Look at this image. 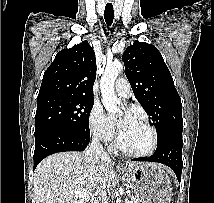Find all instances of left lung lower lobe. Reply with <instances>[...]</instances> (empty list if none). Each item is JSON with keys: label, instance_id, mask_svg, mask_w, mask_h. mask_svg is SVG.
<instances>
[{"label": "left lung lower lobe", "instance_id": "1", "mask_svg": "<svg viewBox=\"0 0 214 203\" xmlns=\"http://www.w3.org/2000/svg\"><path fill=\"white\" fill-rule=\"evenodd\" d=\"M182 131L170 133L165 139L157 143V149L150 157L135 158L133 161L158 162L170 167L180 182L182 173Z\"/></svg>", "mask_w": 214, "mask_h": 203}]
</instances>
